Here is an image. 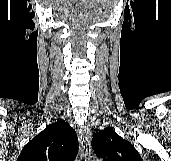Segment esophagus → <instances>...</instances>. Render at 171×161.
Segmentation results:
<instances>
[{
	"label": "esophagus",
	"instance_id": "esophagus-1",
	"mask_svg": "<svg viewBox=\"0 0 171 161\" xmlns=\"http://www.w3.org/2000/svg\"><path fill=\"white\" fill-rule=\"evenodd\" d=\"M79 138V153L85 161H90L91 157V143H90V132L88 127L83 126L78 131Z\"/></svg>",
	"mask_w": 171,
	"mask_h": 161
}]
</instances>
